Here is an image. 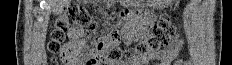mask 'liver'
I'll return each instance as SVG.
<instances>
[{
	"label": "liver",
	"mask_w": 232,
	"mask_h": 65,
	"mask_svg": "<svg viewBox=\"0 0 232 65\" xmlns=\"http://www.w3.org/2000/svg\"><path fill=\"white\" fill-rule=\"evenodd\" d=\"M69 2L70 0H49L52 12L56 15L61 14Z\"/></svg>",
	"instance_id": "obj_1"
}]
</instances>
